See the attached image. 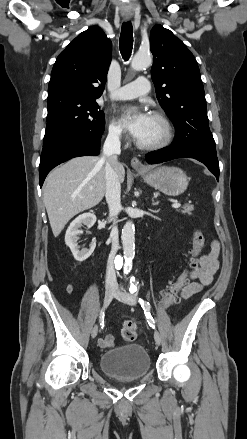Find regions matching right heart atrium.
Listing matches in <instances>:
<instances>
[{
	"label": "right heart atrium",
	"instance_id": "right-heart-atrium-1",
	"mask_svg": "<svg viewBox=\"0 0 247 439\" xmlns=\"http://www.w3.org/2000/svg\"><path fill=\"white\" fill-rule=\"evenodd\" d=\"M108 135L113 139H120L124 135L122 125L115 119H112L108 126Z\"/></svg>",
	"mask_w": 247,
	"mask_h": 439
}]
</instances>
